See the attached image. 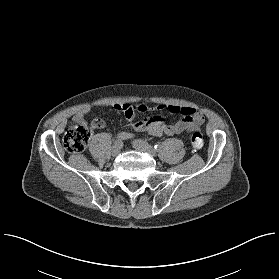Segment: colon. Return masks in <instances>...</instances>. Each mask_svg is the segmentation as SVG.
<instances>
[{
    "label": "colon",
    "mask_w": 279,
    "mask_h": 279,
    "mask_svg": "<svg viewBox=\"0 0 279 279\" xmlns=\"http://www.w3.org/2000/svg\"><path fill=\"white\" fill-rule=\"evenodd\" d=\"M132 111L134 113L139 112V106H132ZM95 123H98V121H93L91 126L82 121L72 124L63 137V145L65 149L70 153L82 152L92 137V128H94L93 124ZM190 143L193 148H202L204 145L202 134L200 132H194L191 135Z\"/></svg>",
    "instance_id": "1"
}]
</instances>
